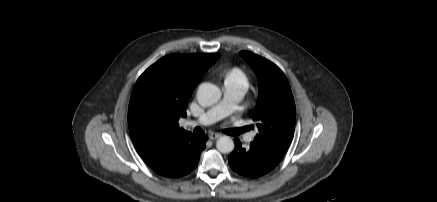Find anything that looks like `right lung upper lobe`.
I'll use <instances>...</instances> for the list:
<instances>
[{"label":"right lung upper lobe","mask_w":437,"mask_h":202,"mask_svg":"<svg viewBox=\"0 0 437 202\" xmlns=\"http://www.w3.org/2000/svg\"><path fill=\"white\" fill-rule=\"evenodd\" d=\"M220 54L167 55L151 65L137 80L128 109L132 142L152 168L179 150L193 136L179 127L186 117L188 100L202 74ZM157 77L151 93L146 88Z\"/></svg>","instance_id":"1"}]
</instances>
